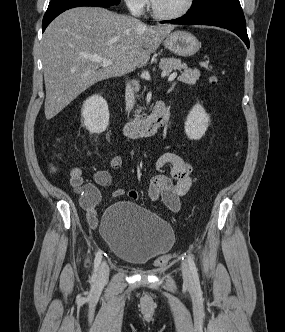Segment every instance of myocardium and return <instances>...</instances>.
Returning a JSON list of instances; mask_svg holds the SVG:
<instances>
[{
  "label": "myocardium",
  "mask_w": 285,
  "mask_h": 332,
  "mask_svg": "<svg viewBox=\"0 0 285 332\" xmlns=\"http://www.w3.org/2000/svg\"><path fill=\"white\" fill-rule=\"evenodd\" d=\"M194 0H187L186 5L184 6V8L182 10H180L177 13L174 14H163L160 13L156 10L155 6H154V2H151V14L154 18L159 19V20H164V21H173V20H177L182 18L183 16H185L193 7L194 5Z\"/></svg>",
  "instance_id": "f54148a6"
}]
</instances>
